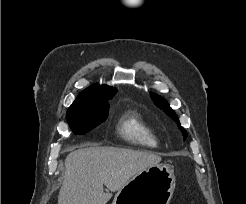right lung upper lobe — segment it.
Returning <instances> with one entry per match:
<instances>
[{
	"instance_id": "obj_1",
	"label": "right lung upper lobe",
	"mask_w": 246,
	"mask_h": 204,
	"mask_svg": "<svg viewBox=\"0 0 246 204\" xmlns=\"http://www.w3.org/2000/svg\"><path fill=\"white\" fill-rule=\"evenodd\" d=\"M117 90L107 85H92L83 90L70 107L81 106L95 98L113 97Z\"/></svg>"
}]
</instances>
